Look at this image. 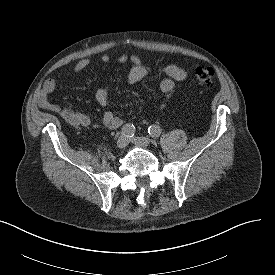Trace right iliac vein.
I'll use <instances>...</instances> for the list:
<instances>
[{
    "instance_id": "right-iliac-vein-1",
    "label": "right iliac vein",
    "mask_w": 275,
    "mask_h": 275,
    "mask_svg": "<svg viewBox=\"0 0 275 275\" xmlns=\"http://www.w3.org/2000/svg\"><path fill=\"white\" fill-rule=\"evenodd\" d=\"M128 143H129L128 138L125 135H121L118 138L116 145L119 149H123L128 145Z\"/></svg>"
}]
</instances>
